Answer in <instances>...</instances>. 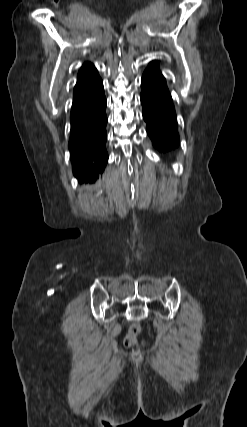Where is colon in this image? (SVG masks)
I'll list each match as a JSON object with an SVG mask.
<instances>
[{"instance_id":"colon-1","label":"colon","mask_w":247,"mask_h":427,"mask_svg":"<svg viewBox=\"0 0 247 427\" xmlns=\"http://www.w3.org/2000/svg\"><path fill=\"white\" fill-rule=\"evenodd\" d=\"M140 332V326L138 324H134L131 326L129 333L124 341L125 346H132L136 343V338Z\"/></svg>"}]
</instances>
